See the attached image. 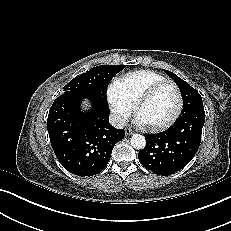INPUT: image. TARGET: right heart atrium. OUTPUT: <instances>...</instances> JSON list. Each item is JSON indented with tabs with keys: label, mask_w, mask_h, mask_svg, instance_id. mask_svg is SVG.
<instances>
[{
	"label": "right heart atrium",
	"mask_w": 231,
	"mask_h": 231,
	"mask_svg": "<svg viewBox=\"0 0 231 231\" xmlns=\"http://www.w3.org/2000/svg\"><path fill=\"white\" fill-rule=\"evenodd\" d=\"M118 84L109 90L108 100L115 120L122 123L128 118L130 110L120 96Z\"/></svg>",
	"instance_id": "d8ad5b80"
}]
</instances>
